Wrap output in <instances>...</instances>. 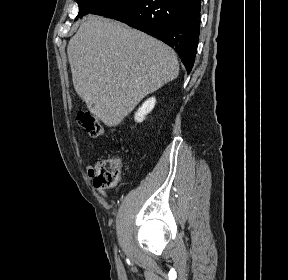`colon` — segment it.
Masks as SVG:
<instances>
[{"label": "colon", "instance_id": "5ec220e1", "mask_svg": "<svg viewBox=\"0 0 288 280\" xmlns=\"http://www.w3.org/2000/svg\"><path fill=\"white\" fill-rule=\"evenodd\" d=\"M77 120L83 129L92 137L103 134V126L100 120L89 110L81 109L77 114ZM123 160L118 156H107L97 161L94 169V184L100 188L115 186L121 174Z\"/></svg>", "mask_w": 288, "mask_h": 280}]
</instances>
